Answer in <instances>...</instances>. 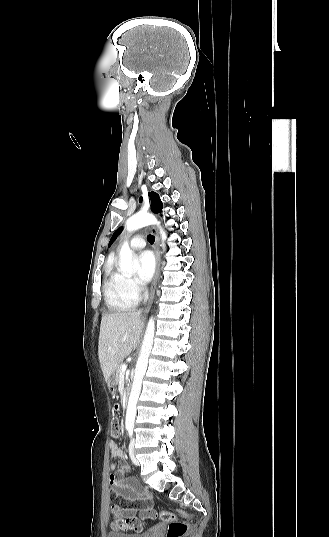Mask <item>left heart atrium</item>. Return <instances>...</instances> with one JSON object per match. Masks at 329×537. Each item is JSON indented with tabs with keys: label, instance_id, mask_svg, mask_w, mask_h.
Listing matches in <instances>:
<instances>
[{
	"label": "left heart atrium",
	"instance_id": "39dd6f15",
	"mask_svg": "<svg viewBox=\"0 0 329 537\" xmlns=\"http://www.w3.org/2000/svg\"><path fill=\"white\" fill-rule=\"evenodd\" d=\"M155 269V259L150 251H143L138 256V280L141 284H147Z\"/></svg>",
	"mask_w": 329,
	"mask_h": 537
}]
</instances>
